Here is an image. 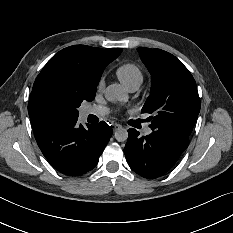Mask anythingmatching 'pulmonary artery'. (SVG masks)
Returning a JSON list of instances; mask_svg holds the SVG:
<instances>
[{
	"mask_svg": "<svg viewBox=\"0 0 233 233\" xmlns=\"http://www.w3.org/2000/svg\"><path fill=\"white\" fill-rule=\"evenodd\" d=\"M138 89V87H131L128 88L130 92H135ZM108 113V109L105 107H94L90 108L87 111V115H96V116H105ZM153 130L150 127H146L143 130L144 135H150L152 134Z\"/></svg>",
	"mask_w": 233,
	"mask_h": 233,
	"instance_id": "e3ab8cb5",
	"label": "pulmonary artery"
}]
</instances>
